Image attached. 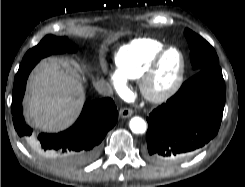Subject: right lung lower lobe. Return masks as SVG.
<instances>
[{
  "mask_svg": "<svg viewBox=\"0 0 245 187\" xmlns=\"http://www.w3.org/2000/svg\"><path fill=\"white\" fill-rule=\"evenodd\" d=\"M39 61L40 58L22 61L15 76L11 106L15 130L37 154L51 162L71 167L91 162L98 156L101 141L118 120L113 100L86 102L76 123L64 132L31 136L32 129L24 123L22 100L29 73Z\"/></svg>",
  "mask_w": 245,
  "mask_h": 187,
  "instance_id": "obj_1",
  "label": "right lung lower lobe"
}]
</instances>
